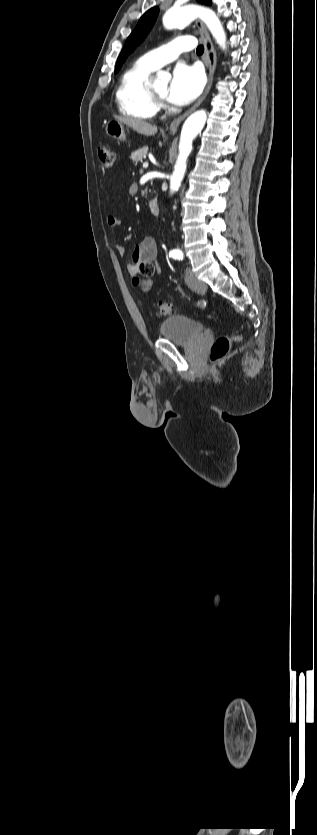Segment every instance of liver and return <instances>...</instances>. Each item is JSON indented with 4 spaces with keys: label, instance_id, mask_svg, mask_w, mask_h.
Returning a JSON list of instances; mask_svg holds the SVG:
<instances>
[{
    "label": "liver",
    "instance_id": "6515ba94",
    "mask_svg": "<svg viewBox=\"0 0 317 835\" xmlns=\"http://www.w3.org/2000/svg\"><path fill=\"white\" fill-rule=\"evenodd\" d=\"M118 121L125 123L126 125L130 126L135 132L144 135V136H152L155 135L158 131L157 126L152 125L146 121L138 120V119H130V118H117Z\"/></svg>",
    "mask_w": 317,
    "mask_h": 835
}]
</instances>
